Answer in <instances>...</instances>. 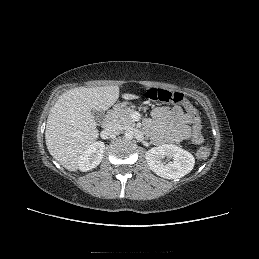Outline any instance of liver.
Returning a JSON list of instances; mask_svg holds the SVG:
<instances>
[{
  "mask_svg": "<svg viewBox=\"0 0 259 259\" xmlns=\"http://www.w3.org/2000/svg\"><path fill=\"white\" fill-rule=\"evenodd\" d=\"M124 99H134L125 93ZM119 98L118 86L78 87L63 93L50 110L45 140L53 158L69 171H76L81 154L99 135L92 111H106Z\"/></svg>",
  "mask_w": 259,
  "mask_h": 259,
  "instance_id": "6515ba94",
  "label": "liver"
}]
</instances>
